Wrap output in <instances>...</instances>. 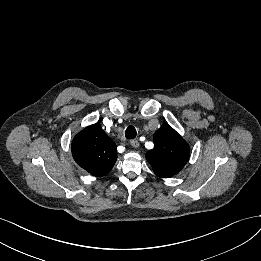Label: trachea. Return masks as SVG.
<instances>
[{"instance_id": "3493384b", "label": "trachea", "mask_w": 261, "mask_h": 261, "mask_svg": "<svg viewBox=\"0 0 261 261\" xmlns=\"http://www.w3.org/2000/svg\"><path fill=\"white\" fill-rule=\"evenodd\" d=\"M137 135L136 129L133 126H128L125 131V137L127 139H134Z\"/></svg>"}]
</instances>
